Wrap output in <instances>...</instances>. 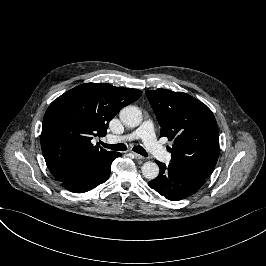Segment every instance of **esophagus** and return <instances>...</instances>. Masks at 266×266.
<instances>
[{
    "label": "esophagus",
    "instance_id": "esophagus-1",
    "mask_svg": "<svg viewBox=\"0 0 266 266\" xmlns=\"http://www.w3.org/2000/svg\"><path fill=\"white\" fill-rule=\"evenodd\" d=\"M132 154H133L135 159H138V160H144L145 159V157H143L142 155H139L138 153L133 152Z\"/></svg>",
    "mask_w": 266,
    "mask_h": 266
}]
</instances>
